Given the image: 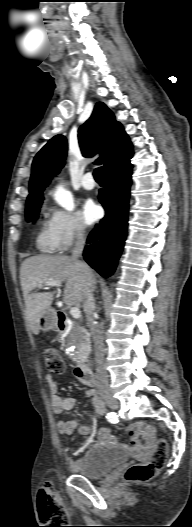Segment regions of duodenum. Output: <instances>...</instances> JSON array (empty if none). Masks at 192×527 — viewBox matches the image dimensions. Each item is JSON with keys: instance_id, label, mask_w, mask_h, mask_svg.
<instances>
[{"instance_id": "1", "label": "duodenum", "mask_w": 192, "mask_h": 527, "mask_svg": "<svg viewBox=\"0 0 192 527\" xmlns=\"http://www.w3.org/2000/svg\"><path fill=\"white\" fill-rule=\"evenodd\" d=\"M56 323L59 330L63 331L66 327V316L63 312L56 313ZM76 377L86 385H94L95 379L90 369L84 363H80L75 368Z\"/></svg>"}]
</instances>
